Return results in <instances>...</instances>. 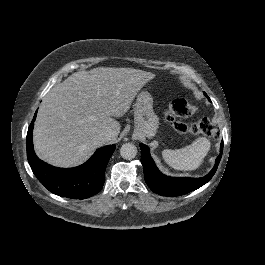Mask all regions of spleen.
<instances>
[{
    "label": "spleen",
    "mask_w": 265,
    "mask_h": 265,
    "mask_svg": "<svg viewBox=\"0 0 265 265\" xmlns=\"http://www.w3.org/2000/svg\"><path fill=\"white\" fill-rule=\"evenodd\" d=\"M211 151V141L208 138H198L182 150H163L164 162L173 170L180 172L196 171Z\"/></svg>",
    "instance_id": "1"
}]
</instances>
